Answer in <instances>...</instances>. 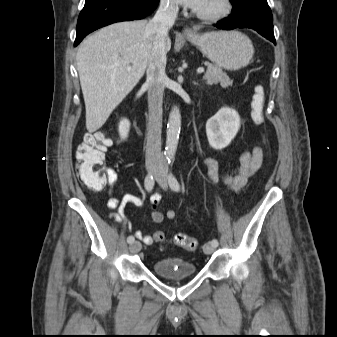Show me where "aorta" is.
I'll list each match as a JSON object with an SVG mask.
<instances>
[{
	"instance_id": "762f6f07",
	"label": "aorta",
	"mask_w": 337,
	"mask_h": 337,
	"mask_svg": "<svg viewBox=\"0 0 337 337\" xmlns=\"http://www.w3.org/2000/svg\"><path fill=\"white\" fill-rule=\"evenodd\" d=\"M180 129H181L180 110L177 106H174L169 114L167 124L166 147H165V155L167 157H173L176 153Z\"/></svg>"
}]
</instances>
